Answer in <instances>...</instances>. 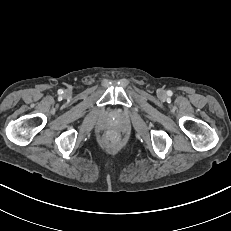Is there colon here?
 <instances>
[{
	"instance_id": "5ec220e1",
	"label": "colon",
	"mask_w": 231,
	"mask_h": 231,
	"mask_svg": "<svg viewBox=\"0 0 231 231\" xmlns=\"http://www.w3.org/2000/svg\"><path fill=\"white\" fill-rule=\"evenodd\" d=\"M104 137L108 142H114L117 139V136L114 133H106Z\"/></svg>"
}]
</instances>
